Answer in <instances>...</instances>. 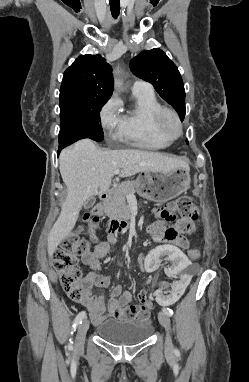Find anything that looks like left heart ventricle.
Listing matches in <instances>:
<instances>
[{"label":"left heart ventricle","instance_id":"b2bd125f","mask_svg":"<svg viewBox=\"0 0 249 382\" xmlns=\"http://www.w3.org/2000/svg\"><path fill=\"white\" fill-rule=\"evenodd\" d=\"M170 126L173 128L175 126L174 122H170Z\"/></svg>","mask_w":249,"mask_h":382}]
</instances>
